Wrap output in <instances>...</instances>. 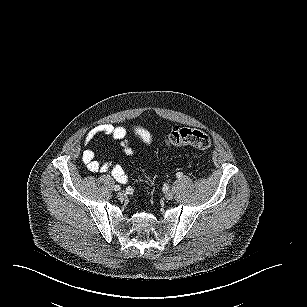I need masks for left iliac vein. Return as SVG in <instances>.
I'll list each match as a JSON object with an SVG mask.
<instances>
[{
	"label": "left iliac vein",
	"instance_id": "obj_1",
	"mask_svg": "<svg viewBox=\"0 0 307 307\" xmlns=\"http://www.w3.org/2000/svg\"><path fill=\"white\" fill-rule=\"evenodd\" d=\"M165 198L167 200H172L174 198V192L172 190H169L165 193Z\"/></svg>",
	"mask_w": 307,
	"mask_h": 307
}]
</instances>
